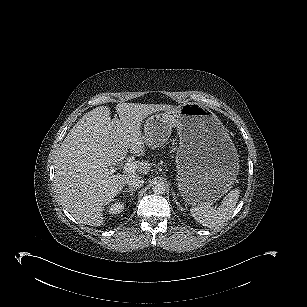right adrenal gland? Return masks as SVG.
<instances>
[{
	"label": "right adrenal gland",
	"instance_id": "obj_1",
	"mask_svg": "<svg viewBox=\"0 0 307 307\" xmlns=\"http://www.w3.org/2000/svg\"><path fill=\"white\" fill-rule=\"evenodd\" d=\"M136 190H137V188H130L129 190H126V191H124V192H129L130 195L132 196L133 193H134V191H136Z\"/></svg>",
	"mask_w": 307,
	"mask_h": 307
}]
</instances>
